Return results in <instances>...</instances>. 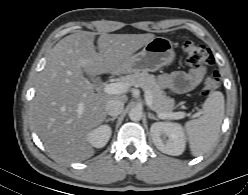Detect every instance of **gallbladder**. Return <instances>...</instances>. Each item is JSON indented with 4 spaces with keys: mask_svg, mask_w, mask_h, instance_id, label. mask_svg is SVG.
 Wrapping results in <instances>:
<instances>
[{
    "mask_svg": "<svg viewBox=\"0 0 248 195\" xmlns=\"http://www.w3.org/2000/svg\"><path fill=\"white\" fill-rule=\"evenodd\" d=\"M85 75H87L90 80L92 81V83L95 85V86H98L101 84V79L100 77L98 76H91V75H88L87 73H84Z\"/></svg>",
    "mask_w": 248,
    "mask_h": 195,
    "instance_id": "obj_1",
    "label": "gallbladder"
}]
</instances>
